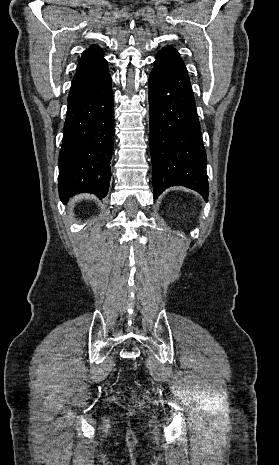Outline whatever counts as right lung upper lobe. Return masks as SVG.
I'll return each instance as SVG.
<instances>
[{
  "instance_id": "cb5924a9",
  "label": "right lung upper lobe",
  "mask_w": 279,
  "mask_h": 465,
  "mask_svg": "<svg viewBox=\"0 0 279 465\" xmlns=\"http://www.w3.org/2000/svg\"><path fill=\"white\" fill-rule=\"evenodd\" d=\"M109 75L103 51L92 45L82 53L76 74L72 80L68 104L87 94L93 87Z\"/></svg>"
}]
</instances>
